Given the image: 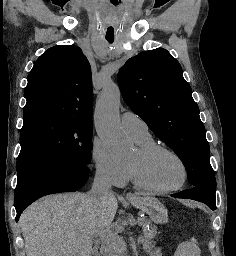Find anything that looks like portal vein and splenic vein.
Listing matches in <instances>:
<instances>
[{
	"label": "portal vein and splenic vein",
	"mask_w": 236,
	"mask_h": 256,
	"mask_svg": "<svg viewBox=\"0 0 236 256\" xmlns=\"http://www.w3.org/2000/svg\"><path fill=\"white\" fill-rule=\"evenodd\" d=\"M121 224H115L114 228H120ZM101 234V238H104L106 232H104V230H102V232H100Z\"/></svg>",
	"instance_id": "1"
}]
</instances>
